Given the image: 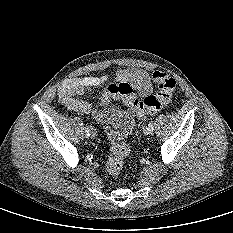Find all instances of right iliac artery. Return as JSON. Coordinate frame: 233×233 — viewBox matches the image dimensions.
<instances>
[{"label": "right iliac artery", "instance_id": "1", "mask_svg": "<svg viewBox=\"0 0 233 233\" xmlns=\"http://www.w3.org/2000/svg\"><path fill=\"white\" fill-rule=\"evenodd\" d=\"M90 131H91V128L89 126H86V128H85V135H86V137L90 136Z\"/></svg>", "mask_w": 233, "mask_h": 233}]
</instances>
